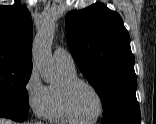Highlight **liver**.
<instances>
[{
  "label": "liver",
  "mask_w": 156,
  "mask_h": 124,
  "mask_svg": "<svg viewBox=\"0 0 156 124\" xmlns=\"http://www.w3.org/2000/svg\"><path fill=\"white\" fill-rule=\"evenodd\" d=\"M0 124H13L12 121L0 118Z\"/></svg>",
  "instance_id": "6515ba94"
}]
</instances>
